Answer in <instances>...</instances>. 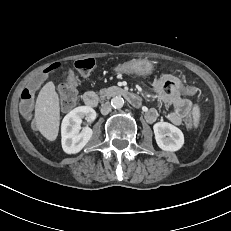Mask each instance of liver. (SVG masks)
Returning <instances> with one entry per match:
<instances>
[{
    "label": "liver",
    "mask_w": 231,
    "mask_h": 231,
    "mask_svg": "<svg viewBox=\"0 0 231 231\" xmlns=\"http://www.w3.org/2000/svg\"><path fill=\"white\" fill-rule=\"evenodd\" d=\"M35 123L47 140H56L60 125V106L55 85L51 81L42 87L36 99Z\"/></svg>",
    "instance_id": "1"
}]
</instances>
